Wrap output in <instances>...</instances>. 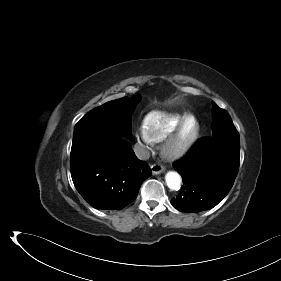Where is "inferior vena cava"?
I'll return each instance as SVG.
<instances>
[{"instance_id": "1", "label": "inferior vena cava", "mask_w": 281, "mask_h": 281, "mask_svg": "<svg viewBox=\"0 0 281 281\" xmlns=\"http://www.w3.org/2000/svg\"><path fill=\"white\" fill-rule=\"evenodd\" d=\"M134 152H135L137 158L140 160H148L150 157V151L143 144H135Z\"/></svg>"}]
</instances>
